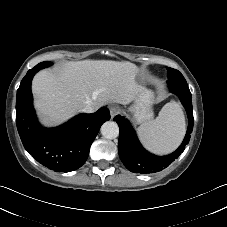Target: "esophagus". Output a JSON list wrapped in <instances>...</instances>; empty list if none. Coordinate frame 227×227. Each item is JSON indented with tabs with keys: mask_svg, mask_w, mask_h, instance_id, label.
Segmentation results:
<instances>
[{
	"mask_svg": "<svg viewBox=\"0 0 227 227\" xmlns=\"http://www.w3.org/2000/svg\"><path fill=\"white\" fill-rule=\"evenodd\" d=\"M111 118H113L115 115H117L120 111L119 107L116 105H112L109 107Z\"/></svg>",
	"mask_w": 227,
	"mask_h": 227,
	"instance_id": "obj_1",
	"label": "esophagus"
}]
</instances>
